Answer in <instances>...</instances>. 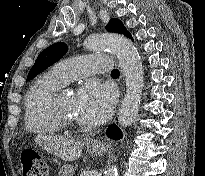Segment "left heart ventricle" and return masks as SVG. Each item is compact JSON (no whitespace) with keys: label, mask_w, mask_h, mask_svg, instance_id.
Returning a JSON list of instances; mask_svg holds the SVG:
<instances>
[{"label":"left heart ventricle","mask_w":205,"mask_h":176,"mask_svg":"<svg viewBox=\"0 0 205 176\" xmlns=\"http://www.w3.org/2000/svg\"><path fill=\"white\" fill-rule=\"evenodd\" d=\"M61 105L64 111L76 119H80L76 112V97L66 93L61 94Z\"/></svg>","instance_id":"1"}]
</instances>
